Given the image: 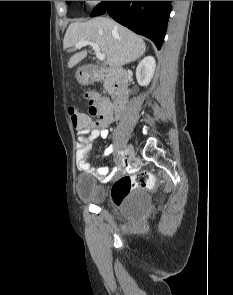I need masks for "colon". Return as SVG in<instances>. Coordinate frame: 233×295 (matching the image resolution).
<instances>
[{"mask_svg": "<svg viewBox=\"0 0 233 295\" xmlns=\"http://www.w3.org/2000/svg\"><path fill=\"white\" fill-rule=\"evenodd\" d=\"M88 99L89 114L79 111L77 108L69 107V114L73 126L77 130L91 128L94 123L91 117H97L100 122L105 117V111L98 105L96 95L86 93ZM98 122L96 124H98ZM155 177L147 172L140 171L133 175H124L120 177L111 188V196L115 204H121L135 188H151L155 185Z\"/></svg>", "mask_w": 233, "mask_h": 295, "instance_id": "1", "label": "colon"}]
</instances>
